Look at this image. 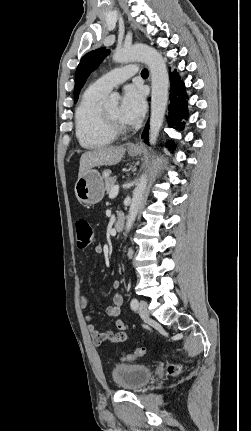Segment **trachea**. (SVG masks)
<instances>
[{
    "label": "trachea",
    "mask_w": 251,
    "mask_h": 431,
    "mask_svg": "<svg viewBox=\"0 0 251 431\" xmlns=\"http://www.w3.org/2000/svg\"><path fill=\"white\" fill-rule=\"evenodd\" d=\"M141 75H142V76H146V75H148V70H147V69H143V70L141 71Z\"/></svg>",
    "instance_id": "1"
}]
</instances>
